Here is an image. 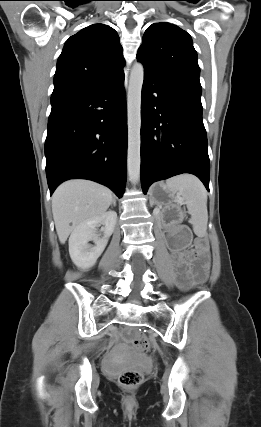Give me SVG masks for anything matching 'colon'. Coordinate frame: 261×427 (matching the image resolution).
Returning <instances> with one entry per match:
<instances>
[{
	"label": "colon",
	"mask_w": 261,
	"mask_h": 427,
	"mask_svg": "<svg viewBox=\"0 0 261 427\" xmlns=\"http://www.w3.org/2000/svg\"><path fill=\"white\" fill-rule=\"evenodd\" d=\"M134 346L143 354L149 350V341L143 335H136L132 339ZM143 381V374L139 371L130 370L121 373L118 377L119 384L126 389H134Z\"/></svg>",
	"instance_id": "colon-1"
}]
</instances>
